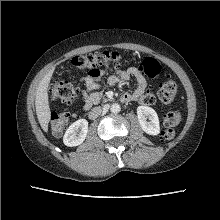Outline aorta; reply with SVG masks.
<instances>
[{
    "instance_id": "762f6f07",
    "label": "aorta",
    "mask_w": 220,
    "mask_h": 220,
    "mask_svg": "<svg viewBox=\"0 0 220 220\" xmlns=\"http://www.w3.org/2000/svg\"><path fill=\"white\" fill-rule=\"evenodd\" d=\"M110 110H111L112 113H119L120 110H121V107H120L119 104L114 103V104L111 105Z\"/></svg>"
}]
</instances>
